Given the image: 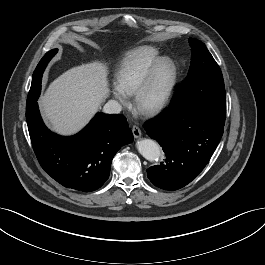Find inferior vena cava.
Returning <instances> with one entry per match:
<instances>
[{"mask_svg": "<svg viewBox=\"0 0 265 265\" xmlns=\"http://www.w3.org/2000/svg\"><path fill=\"white\" fill-rule=\"evenodd\" d=\"M121 110V105L115 100H109L103 107V112L107 114H118Z\"/></svg>", "mask_w": 265, "mask_h": 265, "instance_id": "inferior-vena-cava-1", "label": "inferior vena cava"}]
</instances>
